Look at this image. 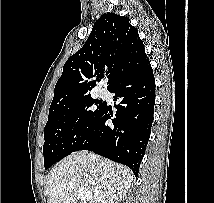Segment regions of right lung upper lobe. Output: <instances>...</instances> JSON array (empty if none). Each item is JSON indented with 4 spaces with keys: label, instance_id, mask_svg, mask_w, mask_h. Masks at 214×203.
Segmentation results:
<instances>
[{
    "label": "right lung upper lobe",
    "instance_id": "right-lung-upper-lobe-1",
    "mask_svg": "<svg viewBox=\"0 0 214 203\" xmlns=\"http://www.w3.org/2000/svg\"><path fill=\"white\" fill-rule=\"evenodd\" d=\"M148 63L138 30L129 19L114 13L103 14L83 47L64 64L49 111L90 96L89 91L104 74L109 90Z\"/></svg>",
    "mask_w": 214,
    "mask_h": 203
}]
</instances>
